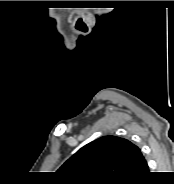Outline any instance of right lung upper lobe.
<instances>
[{
    "label": "right lung upper lobe",
    "mask_w": 174,
    "mask_h": 184,
    "mask_svg": "<svg viewBox=\"0 0 174 184\" xmlns=\"http://www.w3.org/2000/svg\"><path fill=\"white\" fill-rule=\"evenodd\" d=\"M140 149L130 141L104 136L82 147L57 171L67 183L129 181L147 168Z\"/></svg>",
    "instance_id": "right-lung-upper-lobe-1"
}]
</instances>
